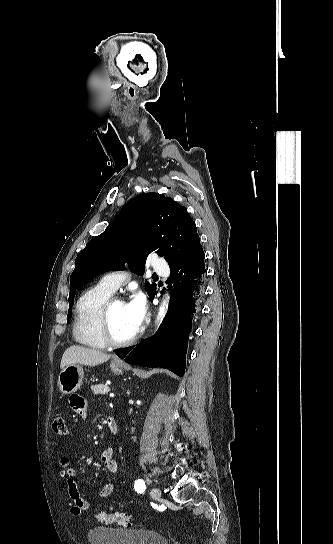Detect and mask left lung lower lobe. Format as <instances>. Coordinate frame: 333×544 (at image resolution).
I'll return each instance as SVG.
<instances>
[{
  "label": "left lung lower lobe",
  "instance_id": "1",
  "mask_svg": "<svg viewBox=\"0 0 333 544\" xmlns=\"http://www.w3.org/2000/svg\"><path fill=\"white\" fill-rule=\"evenodd\" d=\"M204 273V252L200 245L184 262L171 268L174 289L157 333L136 347L117 349V355L130 364L166 368L183 376L188 337L202 300ZM156 294L150 297L151 301Z\"/></svg>",
  "mask_w": 333,
  "mask_h": 544
}]
</instances>
